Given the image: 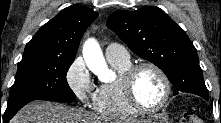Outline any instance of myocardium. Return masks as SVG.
<instances>
[{"label":"myocardium","mask_w":221,"mask_h":123,"mask_svg":"<svg viewBox=\"0 0 221 123\" xmlns=\"http://www.w3.org/2000/svg\"><path fill=\"white\" fill-rule=\"evenodd\" d=\"M145 68H150L154 70L162 79L164 84V96L161 102L154 107H146L142 105L134 92V81L136 75L139 71ZM120 85L123 92V95L127 101V103L139 113H154L163 109L167 103L169 102L171 96V83L162 68L152 62H141L135 65H131L120 77Z\"/></svg>","instance_id":"f54148a6"}]
</instances>
